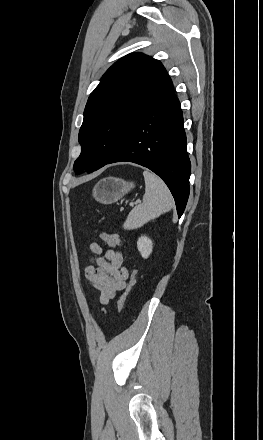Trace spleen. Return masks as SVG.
Returning <instances> with one entry per match:
<instances>
[{
	"instance_id": "spleen-1",
	"label": "spleen",
	"mask_w": 263,
	"mask_h": 440,
	"mask_svg": "<svg viewBox=\"0 0 263 440\" xmlns=\"http://www.w3.org/2000/svg\"><path fill=\"white\" fill-rule=\"evenodd\" d=\"M143 176L145 180L143 202L131 210L124 229L139 228L173 208V197L163 180L148 170L143 172Z\"/></svg>"
}]
</instances>
